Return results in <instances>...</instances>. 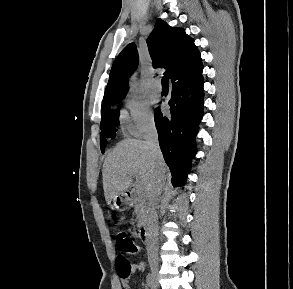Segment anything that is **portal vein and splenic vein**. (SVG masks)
I'll return each mask as SVG.
<instances>
[{"mask_svg":"<svg viewBox=\"0 0 293 289\" xmlns=\"http://www.w3.org/2000/svg\"><path fill=\"white\" fill-rule=\"evenodd\" d=\"M136 190H137L138 193H141L143 191V188H142V186L140 184H137L136 185Z\"/></svg>","mask_w":293,"mask_h":289,"instance_id":"1","label":"portal vein and splenic vein"}]
</instances>
